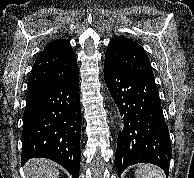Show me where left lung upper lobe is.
<instances>
[{
    "mask_svg": "<svg viewBox=\"0 0 194 178\" xmlns=\"http://www.w3.org/2000/svg\"><path fill=\"white\" fill-rule=\"evenodd\" d=\"M105 61L127 72L154 80L152 67L144 48L127 37L120 36L111 40Z\"/></svg>",
    "mask_w": 194,
    "mask_h": 178,
    "instance_id": "left-lung-upper-lobe-1",
    "label": "left lung upper lobe"
}]
</instances>
